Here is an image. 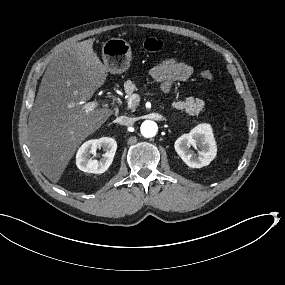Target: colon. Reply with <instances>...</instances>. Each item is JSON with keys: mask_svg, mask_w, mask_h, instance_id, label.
I'll use <instances>...</instances> for the list:
<instances>
[{"mask_svg": "<svg viewBox=\"0 0 285 285\" xmlns=\"http://www.w3.org/2000/svg\"><path fill=\"white\" fill-rule=\"evenodd\" d=\"M143 47L147 52H160L164 48V43L157 38H148L144 41ZM201 77L206 80H211L213 78V74L209 70H203L200 73Z\"/></svg>", "mask_w": 285, "mask_h": 285, "instance_id": "colon-1", "label": "colon"}]
</instances>
